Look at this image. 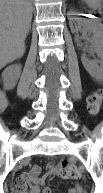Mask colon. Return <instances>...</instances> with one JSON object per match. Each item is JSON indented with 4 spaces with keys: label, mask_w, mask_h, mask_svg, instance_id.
I'll list each match as a JSON object with an SVG mask.
<instances>
[{
    "label": "colon",
    "mask_w": 103,
    "mask_h": 193,
    "mask_svg": "<svg viewBox=\"0 0 103 193\" xmlns=\"http://www.w3.org/2000/svg\"><path fill=\"white\" fill-rule=\"evenodd\" d=\"M101 97V90H96L88 97V107L91 114L95 115L100 111ZM50 170L62 179H75L79 176V169L77 166L70 164L67 161H60L57 164L52 165Z\"/></svg>",
    "instance_id": "obj_1"
}]
</instances>
